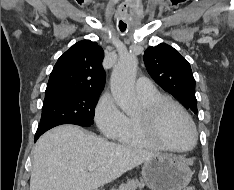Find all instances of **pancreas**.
<instances>
[{
    "instance_id": "1",
    "label": "pancreas",
    "mask_w": 234,
    "mask_h": 190,
    "mask_svg": "<svg viewBox=\"0 0 234 190\" xmlns=\"http://www.w3.org/2000/svg\"><path fill=\"white\" fill-rule=\"evenodd\" d=\"M145 184L138 179H128L126 183H122L118 189L113 190H136L137 188L142 189Z\"/></svg>"
}]
</instances>
